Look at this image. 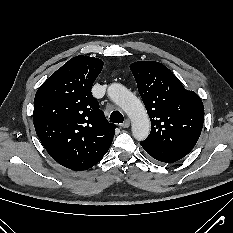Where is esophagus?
<instances>
[{
    "label": "esophagus",
    "mask_w": 233,
    "mask_h": 233,
    "mask_svg": "<svg viewBox=\"0 0 233 233\" xmlns=\"http://www.w3.org/2000/svg\"><path fill=\"white\" fill-rule=\"evenodd\" d=\"M130 126V120L126 119L124 123L121 124L122 128H128Z\"/></svg>",
    "instance_id": "obj_1"
}]
</instances>
